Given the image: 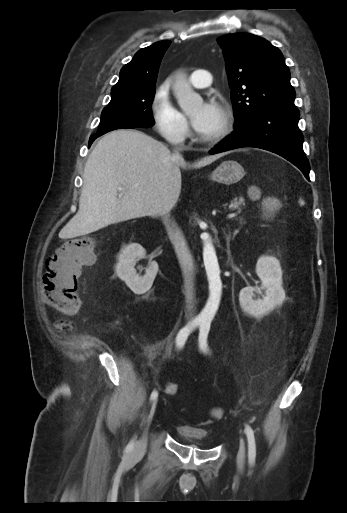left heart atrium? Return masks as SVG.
<instances>
[{
    "label": "left heart atrium",
    "mask_w": 347,
    "mask_h": 513,
    "mask_svg": "<svg viewBox=\"0 0 347 513\" xmlns=\"http://www.w3.org/2000/svg\"><path fill=\"white\" fill-rule=\"evenodd\" d=\"M219 114V108L214 103L203 104L201 110L192 118V125L198 132H204L213 125Z\"/></svg>",
    "instance_id": "39dd6f15"
}]
</instances>
